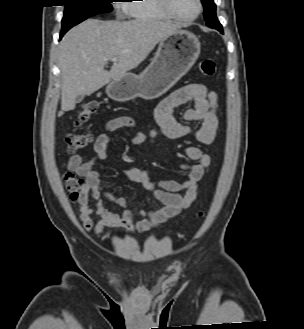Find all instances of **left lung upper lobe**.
Instances as JSON below:
<instances>
[{"instance_id": "obj_1", "label": "left lung upper lobe", "mask_w": 304, "mask_h": 329, "mask_svg": "<svg viewBox=\"0 0 304 329\" xmlns=\"http://www.w3.org/2000/svg\"><path fill=\"white\" fill-rule=\"evenodd\" d=\"M204 6V18L208 22H211V19L215 14L216 5L214 0H201Z\"/></svg>"}]
</instances>
